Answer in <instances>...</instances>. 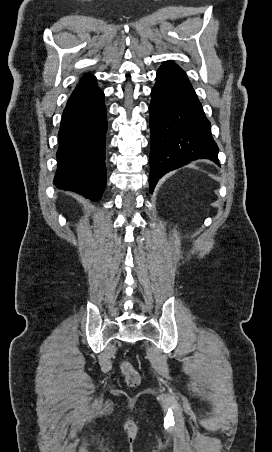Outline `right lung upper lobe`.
<instances>
[{"label": "right lung upper lobe", "mask_w": 272, "mask_h": 452, "mask_svg": "<svg viewBox=\"0 0 272 452\" xmlns=\"http://www.w3.org/2000/svg\"><path fill=\"white\" fill-rule=\"evenodd\" d=\"M93 76L91 74H85L84 77L81 79V81H86L90 78H92Z\"/></svg>", "instance_id": "1"}]
</instances>
